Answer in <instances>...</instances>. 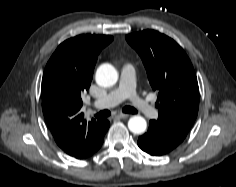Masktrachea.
<instances>
[{
    "label": "trachea",
    "mask_w": 236,
    "mask_h": 187,
    "mask_svg": "<svg viewBox=\"0 0 236 187\" xmlns=\"http://www.w3.org/2000/svg\"><path fill=\"white\" fill-rule=\"evenodd\" d=\"M122 111H123L124 113H130V114H136V113L138 112L135 108L130 107V106H125V107L122 109ZM110 115H111V112H110L109 110H102V111H100L99 113H97V114L95 115V117L99 119V118L108 117V116H110Z\"/></svg>",
    "instance_id": "obj_1"
}]
</instances>
